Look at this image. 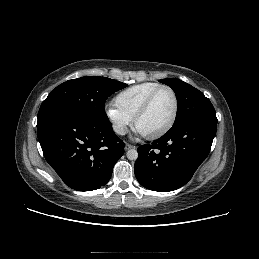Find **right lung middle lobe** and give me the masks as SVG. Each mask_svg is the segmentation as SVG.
Masks as SVG:
<instances>
[{"label":"right lung middle lobe","instance_id":"1","mask_svg":"<svg viewBox=\"0 0 259 259\" xmlns=\"http://www.w3.org/2000/svg\"><path fill=\"white\" fill-rule=\"evenodd\" d=\"M126 86L125 83L106 77H81L68 80L52 90L43 101L38 112V121L62 112L108 120L104 111L106 99Z\"/></svg>","mask_w":259,"mask_h":259}]
</instances>
